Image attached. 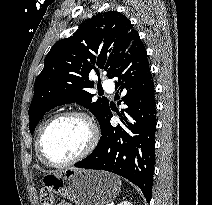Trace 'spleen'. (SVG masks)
I'll use <instances>...</instances> for the list:
<instances>
[{
	"mask_svg": "<svg viewBox=\"0 0 212 205\" xmlns=\"http://www.w3.org/2000/svg\"><path fill=\"white\" fill-rule=\"evenodd\" d=\"M118 183H119V184H121V181H120V179L118 180Z\"/></svg>",
	"mask_w": 212,
	"mask_h": 205,
	"instance_id": "obj_1",
	"label": "spleen"
}]
</instances>
